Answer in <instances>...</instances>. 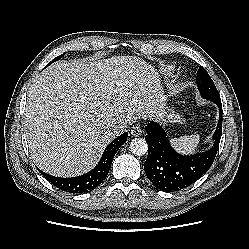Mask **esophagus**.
<instances>
[{
    "mask_svg": "<svg viewBox=\"0 0 249 249\" xmlns=\"http://www.w3.org/2000/svg\"><path fill=\"white\" fill-rule=\"evenodd\" d=\"M131 134L134 137H139L142 134V129L139 126H133L131 129Z\"/></svg>",
    "mask_w": 249,
    "mask_h": 249,
    "instance_id": "obj_1",
    "label": "esophagus"
}]
</instances>
